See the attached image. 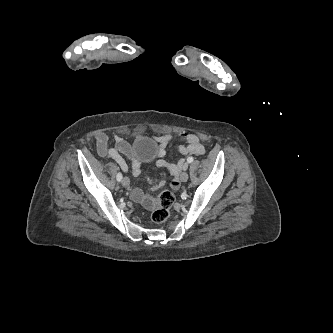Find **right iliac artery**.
I'll use <instances>...</instances> for the list:
<instances>
[{"instance_id": "82829eb1", "label": "right iliac artery", "mask_w": 333, "mask_h": 333, "mask_svg": "<svg viewBox=\"0 0 333 333\" xmlns=\"http://www.w3.org/2000/svg\"><path fill=\"white\" fill-rule=\"evenodd\" d=\"M117 181L120 182L122 180V174L119 172L116 176Z\"/></svg>"}]
</instances>
